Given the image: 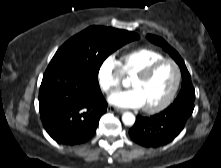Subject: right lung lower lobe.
Instances as JSON below:
<instances>
[{
  "instance_id": "98d812e1",
  "label": "right lung lower lobe",
  "mask_w": 221,
  "mask_h": 168,
  "mask_svg": "<svg viewBox=\"0 0 221 168\" xmlns=\"http://www.w3.org/2000/svg\"><path fill=\"white\" fill-rule=\"evenodd\" d=\"M40 117L58 143L74 145L95 133L107 103L98 80L71 70H46L39 90Z\"/></svg>"
}]
</instances>
